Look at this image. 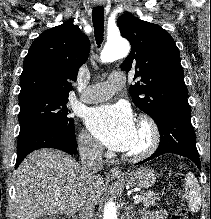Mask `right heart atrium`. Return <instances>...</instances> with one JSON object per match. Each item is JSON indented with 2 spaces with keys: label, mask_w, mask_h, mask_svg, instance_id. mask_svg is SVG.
<instances>
[{
  "label": "right heart atrium",
  "mask_w": 211,
  "mask_h": 219,
  "mask_svg": "<svg viewBox=\"0 0 211 219\" xmlns=\"http://www.w3.org/2000/svg\"><path fill=\"white\" fill-rule=\"evenodd\" d=\"M80 151L86 155L99 157L102 154L101 144L88 132L81 130L77 136Z\"/></svg>",
  "instance_id": "right-heart-atrium-1"
}]
</instances>
